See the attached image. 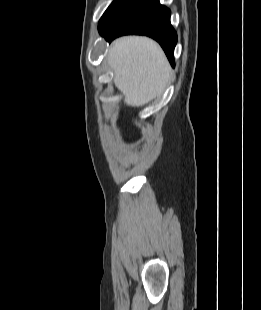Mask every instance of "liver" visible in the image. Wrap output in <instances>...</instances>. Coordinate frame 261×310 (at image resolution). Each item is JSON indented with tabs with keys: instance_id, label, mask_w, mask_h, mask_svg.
Returning a JSON list of instances; mask_svg holds the SVG:
<instances>
[{
	"instance_id": "6515ba94",
	"label": "liver",
	"mask_w": 261,
	"mask_h": 310,
	"mask_svg": "<svg viewBox=\"0 0 261 310\" xmlns=\"http://www.w3.org/2000/svg\"><path fill=\"white\" fill-rule=\"evenodd\" d=\"M108 63L124 102L133 107L148 104L161 95L171 73L163 50L148 37L116 39L110 46Z\"/></svg>"
}]
</instances>
